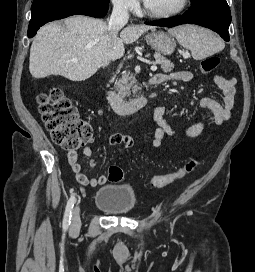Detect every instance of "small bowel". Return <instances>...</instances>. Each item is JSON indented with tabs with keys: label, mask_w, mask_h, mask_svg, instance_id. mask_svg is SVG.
<instances>
[{
	"label": "small bowel",
	"mask_w": 255,
	"mask_h": 272,
	"mask_svg": "<svg viewBox=\"0 0 255 272\" xmlns=\"http://www.w3.org/2000/svg\"><path fill=\"white\" fill-rule=\"evenodd\" d=\"M158 84L167 81H179L188 82L193 78V74L190 71H175L170 73H157L153 77ZM214 82L221 90L223 95V103H219L217 100L205 97L201 99V106L209 110L213 115V122L216 126L221 125L224 121L228 120L231 115V111L235 103L236 93V80L234 78L227 79L221 75L214 77ZM166 107L158 106L153 111V119L158 125L154 132L151 144L153 147L158 148L162 145L166 136H173L175 134L173 128L165 119ZM207 126V121H200L186 129L185 134L190 138H196L200 136ZM109 145H122L126 149H130L133 146V139L130 136L120 133L112 134L108 139ZM82 153L86 157L92 156V148L85 146L82 149ZM67 159L73 172L75 173L76 180L82 186H102L107 183L108 178L106 175H101L97 178H89L83 172L78 160V154L76 151H67ZM95 160H90V167H95Z\"/></svg>",
	"instance_id": "obj_1"
}]
</instances>
